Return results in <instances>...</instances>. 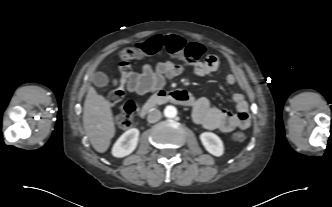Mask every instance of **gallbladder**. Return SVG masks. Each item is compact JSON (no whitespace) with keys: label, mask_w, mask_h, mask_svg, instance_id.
<instances>
[{"label":"gallbladder","mask_w":332,"mask_h":207,"mask_svg":"<svg viewBox=\"0 0 332 207\" xmlns=\"http://www.w3.org/2000/svg\"><path fill=\"white\" fill-rule=\"evenodd\" d=\"M93 83L97 87H105L108 85L109 79L106 74H104L102 72H97V73H95V75L93 77Z\"/></svg>","instance_id":"gallbladder-1"}]
</instances>
